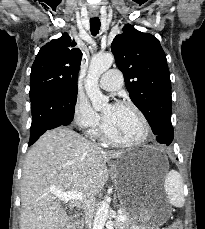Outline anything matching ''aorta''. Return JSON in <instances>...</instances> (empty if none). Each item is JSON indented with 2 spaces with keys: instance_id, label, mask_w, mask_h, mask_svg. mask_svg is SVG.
<instances>
[{
  "instance_id": "1",
  "label": "aorta",
  "mask_w": 205,
  "mask_h": 229,
  "mask_svg": "<svg viewBox=\"0 0 205 229\" xmlns=\"http://www.w3.org/2000/svg\"><path fill=\"white\" fill-rule=\"evenodd\" d=\"M113 61L114 57L111 53L97 54L91 59L85 80V91L92 106L96 110L102 109L109 102V98L101 92L98 80L99 77L112 66ZM109 202L110 198L105 197L99 204L94 217L93 229L104 228L105 222L108 218Z\"/></svg>"
}]
</instances>
